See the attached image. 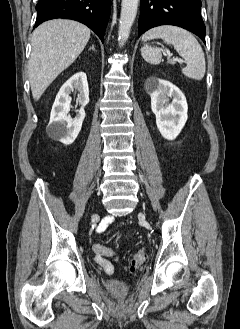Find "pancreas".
<instances>
[{
  "label": "pancreas",
  "mask_w": 240,
  "mask_h": 329,
  "mask_svg": "<svg viewBox=\"0 0 240 329\" xmlns=\"http://www.w3.org/2000/svg\"><path fill=\"white\" fill-rule=\"evenodd\" d=\"M169 63L174 64V61L173 60L172 61H169Z\"/></svg>",
  "instance_id": "cf45deb5"
}]
</instances>
